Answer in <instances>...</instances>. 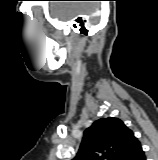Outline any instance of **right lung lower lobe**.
<instances>
[{
	"label": "right lung lower lobe",
	"instance_id": "right-lung-lower-lobe-1",
	"mask_svg": "<svg viewBox=\"0 0 158 160\" xmlns=\"http://www.w3.org/2000/svg\"><path fill=\"white\" fill-rule=\"evenodd\" d=\"M129 160H146L145 153L142 147Z\"/></svg>",
	"mask_w": 158,
	"mask_h": 160
}]
</instances>
